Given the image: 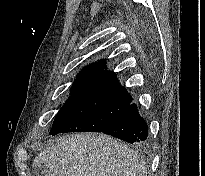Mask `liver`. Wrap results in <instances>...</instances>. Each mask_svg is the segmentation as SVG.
I'll return each mask as SVG.
<instances>
[{"label":"liver","mask_w":205,"mask_h":176,"mask_svg":"<svg viewBox=\"0 0 205 176\" xmlns=\"http://www.w3.org/2000/svg\"><path fill=\"white\" fill-rule=\"evenodd\" d=\"M51 176H146L145 161L126 144L105 134L59 137L34 159Z\"/></svg>","instance_id":"obj_1"}]
</instances>
